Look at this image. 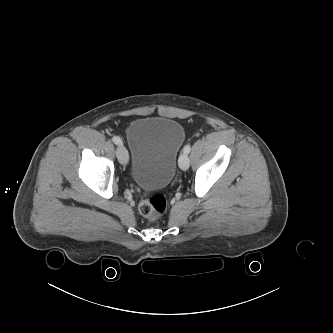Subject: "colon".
Masks as SVG:
<instances>
[{
  "mask_svg": "<svg viewBox=\"0 0 333 333\" xmlns=\"http://www.w3.org/2000/svg\"><path fill=\"white\" fill-rule=\"evenodd\" d=\"M167 201L164 195L155 194L143 198L139 204L140 214L149 221L158 220L166 210Z\"/></svg>",
  "mask_w": 333,
  "mask_h": 333,
  "instance_id": "5ec220e1",
  "label": "colon"
}]
</instances>
